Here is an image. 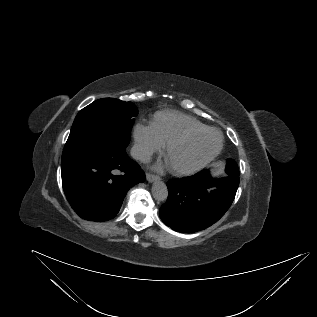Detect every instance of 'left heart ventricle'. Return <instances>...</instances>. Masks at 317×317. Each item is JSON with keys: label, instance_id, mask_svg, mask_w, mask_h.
Here are the masks:
<instances>
[{"label": "left heart ventricle", "instance_id": "b2bd125f", "mask_svg": "<svg viewBox=\"0 0 317 317\" xmlns=\"http://www.w3.org/2000/svg\"><path fill=\"white\" fill-rule=\"evenodd\" d=\"M219 137L214 132L194 136L172 149L166 156L170 168H187L208 156L218 145Z\"/></svg>", "mask_w": 317, "mask_h": 317}]
</instances>
